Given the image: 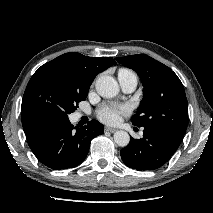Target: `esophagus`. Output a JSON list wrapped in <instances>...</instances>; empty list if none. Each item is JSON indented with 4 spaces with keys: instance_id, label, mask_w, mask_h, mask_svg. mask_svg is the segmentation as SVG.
I'll use <instances>...</instances> for the list:
<instances>
[{
    "instance_id": "34e87169",
    "label": "esophagus",
    "mask_w": 213,
    "mask_h": 213,
    "mask_svg": "<svg viewBox=\"0 0 213 213\" xmlns=\"http://www.w3.org/2000/svg\"><path fill=\"white\" fill-rule=\"evenodd\" d=\"M105 131L114 133V132L117 131V129H115V128H110V127H106V128H105Z\"/></svg>"
}]
</instances>
